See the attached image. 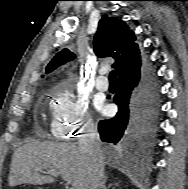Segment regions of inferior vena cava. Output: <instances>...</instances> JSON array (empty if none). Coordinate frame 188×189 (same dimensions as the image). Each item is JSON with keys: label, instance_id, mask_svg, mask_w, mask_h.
<instances>
[{"label": "inferior vena cava", "instance_id": "inferior-vena-cava-1", "mask_svg": "<svg viewBox=\"0 0 188 189\" xmlns=\"http://www.w3.org/2000/svg\"><path fill=\"white\" fill-rule=\"evenodd\" d=\"M79 149L87 156L90 170L87 189H101L104 178V161L100 136L93 122H87L79 138Z\"/></svg>", "mask_w": 188, "mask_h": 189}]
</instances>
